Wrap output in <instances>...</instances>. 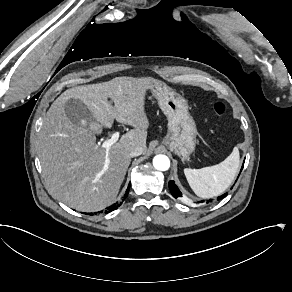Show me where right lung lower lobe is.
I'll list each match as a JSON object with an SVG mask.
<instances>
[{"label": "right lung lower lobe", "mask_w": 292, "mask_h": 292, "mask_svg": "<svg viewBox=\"0 0 292 292\" xmlns=\"http://www.w3.org/2000/svg\"><path fill=\"white\" fill-rule=\"evenodd\" d=\"M129 186H130V184H129ZM129 186H128V187H129ZM128 192H129V189H127V191H126V193H125V195H124V199L127 197ZM124 199H123V200H124ZM119 206H120V204L115 203V204L111 205L110 207H108L106 212H107V213H108V212H111V211L117 209Z\"/></svg>", "instance_id": "98d812e1"}]
</instances>
